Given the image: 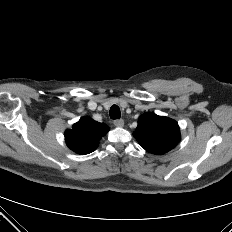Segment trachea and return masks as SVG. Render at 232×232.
Wrapping results in <instances>:
<instances>
[{
  "label": "trachea",
  "instance_id": "3493384b",
  "mask_svg": "<svg viewBox=\"0 0 232 232\" xmlns=\"http://www.w3.org/2000/svg\"><path fill=\"white\" fill-rule=\"evenodd\" d=\"M121 116L120 109L117 105H113L110 108V118L111 119H119Z\"/></svg>",
  "mask_w": 232,
  "mask_h": 232
}]
</instances>
